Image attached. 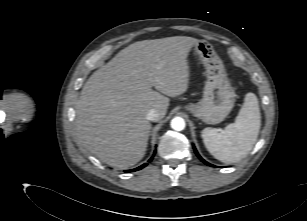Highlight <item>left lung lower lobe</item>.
Wrapping results in <instances>:
<instances>
[{
	"mask_svg": "<svg viewBox=\"0 0 307 221\" xmlns=\"http://www.w3.org/2000/svg\"><path fill=\"white\" fill-rule=\"evenodd\" d=\"M194 151H195L196 155L198 156V158H199L202 162H204L205 164H207V165H209V166L214 167V165H212V164L206 162V161L199 155V153L197 152L196 148H194Z\"/></svg>",
	"mask_w": 307,
	"mask_h": 221,
	"instance_id": "obj_1",
	"label": "left lung lower lobe"
}]
</instances>
